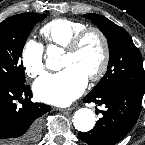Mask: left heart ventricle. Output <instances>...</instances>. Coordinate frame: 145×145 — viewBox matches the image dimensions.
I'll return each mask as SVG.
<instances>
[{
	"label": "left heart ventricle",
	"mask_w": 145,
	"mask_h": 145,
	"mask_svg": "<svg viewBox=\"0 0 145 145\" xmlns=\"http://www.w3.org/2000/svg\"><path fill=\"white\" fill-rule=\"evenodd\" d=\"M101 60V42L96 35L91 34L86 37L81 47L75 53L65 51L62 57L61 67L75 66L88 78L98 70Z\"/></svg>",
	"instance_id": "b2bd125f"
}]
</instances>
